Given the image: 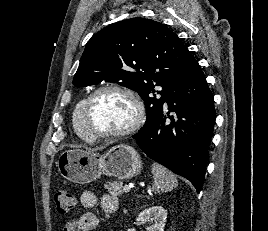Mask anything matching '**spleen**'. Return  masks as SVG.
<instances>
[{
    "mask_svg": "<svg viewBox=\"0 0 268 231\" xmlns=\"http://www.w3.org/2000/svg\"><path fill=\"white\" fill-rule=\"evenodd\" d=\"M153 188L158 193L171 191L178 185L177 178L168 169L154 162L152 164Z\"/></svg>",
    "mask_w": 268,
    "mask_h": 231,
    "instance_id": "obj_1",
    "label": "spleen"
}]
</instances>
